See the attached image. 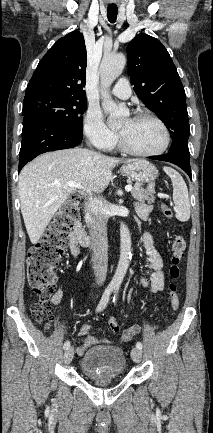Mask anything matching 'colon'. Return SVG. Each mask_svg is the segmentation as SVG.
I'll use <instances>...</instances> for the list:
<instances>
[{
  "label": "colon",
  "mask_w": 213,
  "mask_h": 433,
  "mask_svg": "<svg viewBox=\"0 0 213 433\" xmlns=\"http://www.w3.org/2000/svg\"><path fill=\"white\" fill-rule=\"evenodd\" d=\"M81 209V199L77 195L71 196L64 202L46 231L39 241L31 246L27 256V279L30 288L40 296V300L33 304L31 312L37 322H43L51 317V306L49 297L53 294L56 285L55 268L64 256L68 240V232L74 224ZM162 214L165 218L171 219L172 210L166 204L161 205ZM186 249V241L182 234H176L171 242V266L170 276L177 279L180 276L181 262ZM170 306L172 312H176L180 306V299L177 286L174 283L169 285ZM113 332L119 331V324L116 318L108 322ZM130 332L124 331V338H129Z\"/></svg>",
  "instance_id": "obj_1"
}]
</instances>
